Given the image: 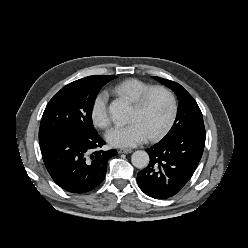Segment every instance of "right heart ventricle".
I'll return each mask as SVG.
<instances>
[{"label": "right heart ventricle", "mask_w": 248, "mask_h": 248, "mask_svg": "<svg viewBox=\"0 0 248 248\" xmlns=\"http://www.w3.org/2000/svg\"><path fill=\"white\" fill-rule=\"evenodd\" d=\"M152 85L136 78L123 80L112 87V92L119 97L135 102Z\"/></svg>", "instance_id": "1"}]
</instances>
